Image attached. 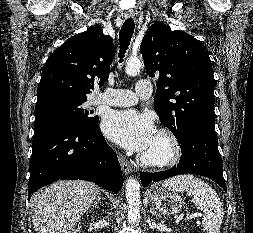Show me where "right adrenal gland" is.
<instances>
[{
  "label": "right adrenal gland",
  "instance_id": "2a0ac1e0",
  "mask_svg": "<svg viewBox=\"0 0 253 233\" xmlns=\"http://www.w3.org/2000/svg\"><path fill=\"white\" fill-rule=\"evenodd\" d=\"M101 200H103V198H102L101 196H99V197L97 198V200L94 202V206H95L97 203L101 202Z\"/></svg>",
  "mask_w": 253,
  "mask_h": 233
}]
</instances>
